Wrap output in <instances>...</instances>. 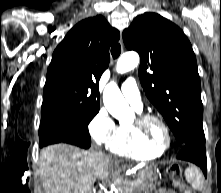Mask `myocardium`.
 Wrapping results in <instances>:
<instances>
[{"mask_svg": "<svg viewBox=\"0 0 221 193\" xmlns=\"http://www.w3.org/2000/svg\"><path fill=\"white\" fill-rule=\"evenodd\" d=\"M153 122H157L163 128L166 135L165 143L157 141L156 138L153 136L150 129ZM133 126L138 134L142 137V139H144L152 146L158 148L160 151H165L171 147L173 142L171 129L166 120L159 114L142 112L137 116L136 120L133 123Z\"/></svg>", "mask_w": 221, "mask_h": 193, "instance_id": "obj_1", "label": "myocardium"}]
</instances>
